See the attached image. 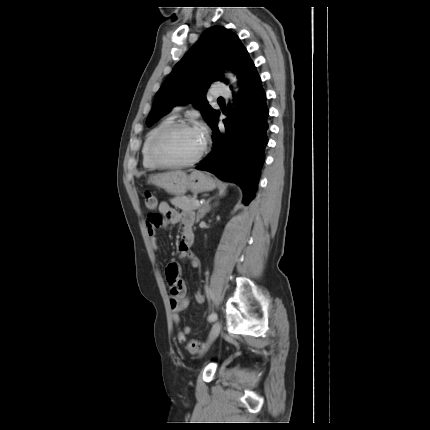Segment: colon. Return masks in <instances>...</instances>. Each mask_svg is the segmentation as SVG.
Returning a JSON list of instances; mask_svg holds the SVG:
<instances>
[{
    "label": "colon",
    "mask_w": 430,
    "mask_h": 430,
    "mask_svg": "<svg viewBox=\"0 0 430 430\" xmlns=\"http://www.w3.org/2000/svg\"><path fill=\"white\" fill-rule=\"evenodd\" d=\"M144 198H145L146 206L149 209H154L157 203L154 195L150 191H146L144 193ZM202 347H203L202 343L199 340H195V339L190 340L189 343L187 344V350L191 354H197L202 349Z\"/></svg>",
    "instance_id": "colon-1"
}]
</instances>
